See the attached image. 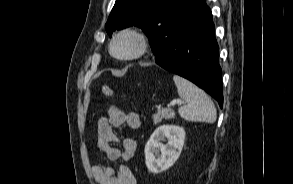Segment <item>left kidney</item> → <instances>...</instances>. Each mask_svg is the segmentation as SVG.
Returning a JSON list of instances; mask_svg holds the SVG:
<instances>
[{
    "label": "left kidney",
    "mask_w": 293,
    "mask_h": 184,
    "mask_svg": "<svg viewBox=\"0 0 293 184\" xmlns=\"http://www.w3.org/2000/svg\"><path fill=\"white\" fill-rule=\"evenodd\" d=\"M165 139L167 143H161ZM184 142L183 127L175 125L158 127L145 146V163L148 171L157 174L173 166L181 154Z\"/></svg>",
    "instance_id": "left-kidney-1"
}]
</instances>
